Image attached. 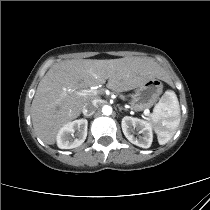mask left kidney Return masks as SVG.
I'll return each instance as SVG.
<instances>
[{"instance_id":"1","label":"left kidney","mask_w":210,"mask_h":210,"mask_svg":"<svg viewBox=\"0 0 210 210\" xmlns=\"http://www.w3.org/2000/svg\"><path fill=\"white\" fill-rule=\"evenodd\" d=\"M122 131L125 137L136 146L142 148H149L152 144L153 135L151 125L138 118H133L130 116H125L121 122ZM139 131L142 134L141 137L135 138L133 135V130Z\"/></svg>"}]
</instances>
